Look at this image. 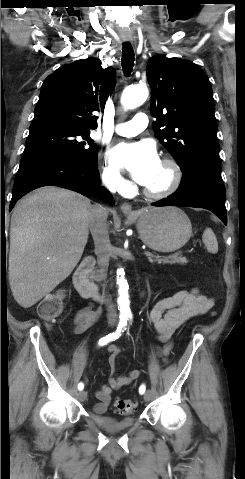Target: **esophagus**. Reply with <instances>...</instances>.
Instances as JSON below:
<instances>
[{"label":"esophagus","mask_w":245,"mask_h":479,"mask_svg":"<svg viewBox=\"0 0 245 479\" xmlns=\"http://www.w3.org/2000/svg\"><path fill=\"white\" fill-rule=\"evenodd\" d=\"M120 208L124 214H134L132 206L129 203H123Z\"/></svg>","instance_id":"obj_1"}]
</instances>
